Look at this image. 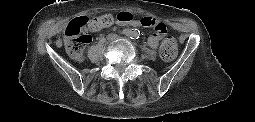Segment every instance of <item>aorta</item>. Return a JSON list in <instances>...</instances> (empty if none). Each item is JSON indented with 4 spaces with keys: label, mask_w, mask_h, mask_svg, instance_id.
<instances>
[{
    "label": "aorta",
    "mask_w": 255,
    "mask_h": 122,
    "mask_svg": "<svg viewBox=\"0 0 255 122\" xmlns=\"http://www.w3.org/2000/svg\"><path fill=\"white\" fill-rule=\"evenodd\" d=\"M128 35L131 38H138L140 36V31L138 29H131L128 31Z\"/></svg>",
    "instance_id": "obj_1"
}]
</instances>
